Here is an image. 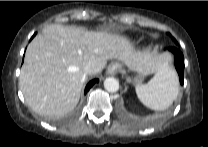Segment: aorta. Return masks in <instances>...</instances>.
<instances>
[{
  "label": "aorta",
  "instance_id": "aorta-1",
  "mask_svg": "<svg viewBox=\"0 0 208 147\" xmlns=\"http://www.w3.org/2000/svg\"><path fill=\"white\" fill-rule=\"evenodd\" d=\"M104 88L108 92H117L119 90V81L114 77H108L104 81Z\"/></svg>",
  "mask_w": 208,
  "mask_h": 147
}]
</instances>
